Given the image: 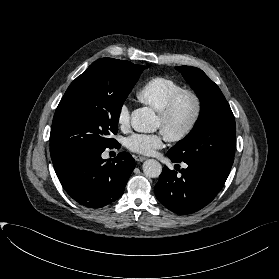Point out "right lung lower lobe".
<instances>
[{"instance_id": "1", "label": "right lung lower lobe", "mask_w": 279, "mask_h": 279, "mask_svg": "<svg viewBox=\"0 0 279 279\" xmlns=\"http://www.w3.org/2000/svg\"><path fill=\"white\" fill-rule=\"evenodd\" d=\"M103 151L53 162L65 191L85 207L100 208L119 199L135 168V160L129 153L121 152L106 161L101 157Z\"/></svg>"}]
</instances>
